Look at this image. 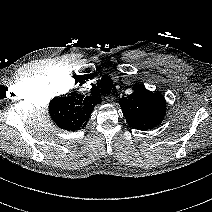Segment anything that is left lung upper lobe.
Listing matches in <instances>:
<instances>
[{
    "label": "left lung upper lobe",
    "instance_id": "obj_1",
    "mask_svg": "<svg viewBox=\"0 0 212 212\" xmlns=\"http://www.w3.org/2000/svg\"><path fill=\"white\" fill-rule=\"evenodd\" d=\"M127 123L139 130H151L161 124L166 112L162 94L146 88H137L132 94L119 100Z\"/></svg>",
    "mask_w": 212,
    "mask_h": 212
}]
</instances>
